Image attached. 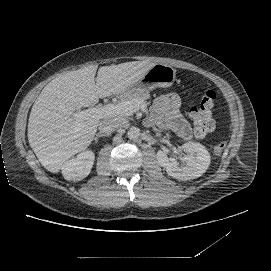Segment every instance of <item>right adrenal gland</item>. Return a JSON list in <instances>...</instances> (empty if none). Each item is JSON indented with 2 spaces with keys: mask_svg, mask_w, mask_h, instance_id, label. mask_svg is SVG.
<instances>
[{
  "mask_svg": "<svg viewBox=\"0 0 271 271\" xmlns=\"http://www.w3.org/2000/svg\"><path fill=\"white\" fill-rule=\"evenodd\" d=\"M105 136H107V134H104V133H101V132L97 133L96 136L94 137L95 143L98 142L100 137H105Z\"/></svg>",
  "mask_w": 271,
  "mask_h": 271,
  "instance_id": "obj_1",
  "label": "right adrenal gland"
}]
</instances>
